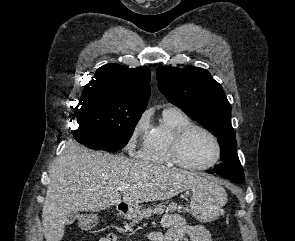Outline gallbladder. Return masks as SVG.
Here are the masks:
<instances>
[{"label": "gallbladder", "mask_w": 295, "mask_h": 241, "mask_svg": "<svg viewBox=\"0 0 295 241\" xmlns=\"http://www.w3.org/2000/svg\"><path fill=\"white\" fill-rule=\"evenodd\" d=\"M77 217H78L77 212L72 213V214L68 217V219H67V221H66V224H67V225L72 224L73 222H75V220L77 219Z\"/></svg>", "instance_id": "bac80fb5"}]
</instances>
